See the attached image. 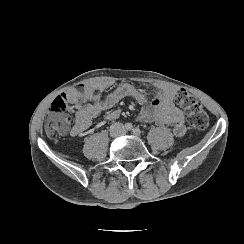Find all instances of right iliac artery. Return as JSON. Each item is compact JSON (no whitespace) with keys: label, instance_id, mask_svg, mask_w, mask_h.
I'll list each match as a JSON object with an SVG mask.
<instances>
[{"label":"right iliac artery","instance_id":"1","mask_svg":"<svg viewBox=\"0 0 244 244\" xmlns=\"http://www.w3.org/2000/svg\"><path fill=\"white\" fill-rule=\"evenodd\" d=\"M124 127L126 130H132V128H133L131 123H126Z\"/></svg>","mask_w":244,"mask_h":244}]
</instances>
